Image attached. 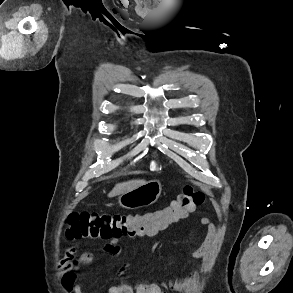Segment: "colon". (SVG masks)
Listing matches in <instances>:
<instances>
[{
    "mask_svg": "<svg viewBox=\"0 0 293 293\" xmlns=\"http://www.w3.org/2000/svg\"><path fill=\"white\" fill-rule=\"evenodd\" d=\"M202 200L201 191L192 186H186L175 200L158 210L135 214L73 211L65 219V236L67 239L90 237L106 240L113 236L158 230L184 218ZM156 292L157 290L151 286L140 289V293Z\"/></svg>",
    "mask_w": 293,
    "mask_h": 293,
    "instance_id": "obj_1",
    "label": "colon"
}]
</instances>
